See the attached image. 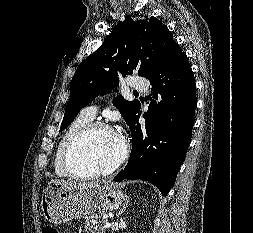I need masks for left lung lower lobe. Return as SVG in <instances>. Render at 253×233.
I'll return each instance as SVG.
<instances>
[{"label": "left lung lower lobe", "instance_id": "0a47b994", "mask_svg": "<svg viewBox=\"0 0 253 233\" xmlns=\"http://www.w3.org/2000/svg\"><path fill=\"white\" fill-rule=\"evenodd\" d=\"M147 79L152 85L148 111L140 125V108L129 125L132 151L126 167L113 179H143L166 196L185 159L194 125L196 84L186 54L176 43L158 71Z\"/></svg>", "mask_w": 253, "mask_h": 233}]
</instances>
